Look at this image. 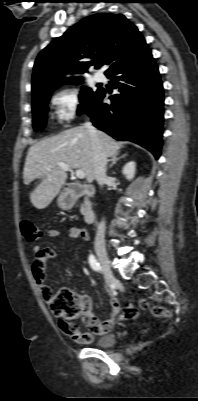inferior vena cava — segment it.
Masks as SVG:
<instances>
[{"mask_svg": "<svg viewBox=\"0 0 198 401\" xmlns=\"http://www.w3.org/2000/svg\"><path fill=\"white\" fill-rule=\"evenodd\" d=\"M85 128L88 129L92 139L93 159H94V174L97 183L103 186L107 180V157L102 151L101 143L97 137V131L90 122H85ZM105 220L103 219L97 228L95 237L96 245H104L105 243Z\"/></svg>", "mask_w": 198, "mask_h": 401, "instance_id": "obj_1", "label": "inferior vena cava"}]
</instances>
